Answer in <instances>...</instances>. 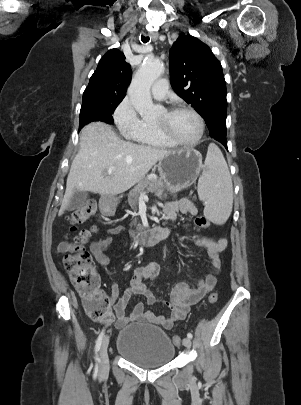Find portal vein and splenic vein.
<instances>
[{
  "mask_svg": "<svg viewBox=\"0 0 301 405\" xmlns=\"http://www.w3.org/2000/svg\"><path fill=\"white\" fill-rule=\"evenodd\" d=\"M109 171H111V168L109 169ZM150 177H155L156 178L157 176L156 175H151Z\"/></svg>",
  "mask_w": 301,
  "mask_h": 405,
  "instance_id": "18ae733b",
  "label": "portal vein and splenic vein"
}]
</instances>
